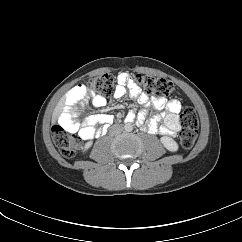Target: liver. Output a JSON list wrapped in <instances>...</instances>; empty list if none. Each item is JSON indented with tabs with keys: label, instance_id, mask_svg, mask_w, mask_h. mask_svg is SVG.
Listing matches in <instances>:
<instances>
[{
	"label": "liver",
	"instance_id": "1",
	"mask_svg": "<svg viewBox=\"0 0 242 242\" xmlns=\"http://www.w3.org/2000/svg\"><path fill=\"white\" fill-rule=\"evenodd\" d=\"M59 113H60V110H59V108H57L55 111V118L59 115Z\"/></svg>",
	"mask_w": 242,
	"mask_h": 242
}]
</instances>
